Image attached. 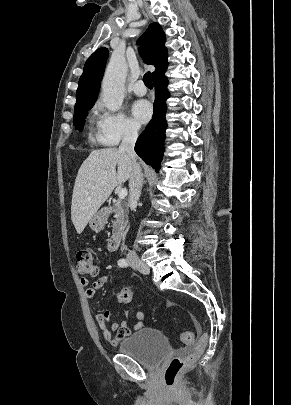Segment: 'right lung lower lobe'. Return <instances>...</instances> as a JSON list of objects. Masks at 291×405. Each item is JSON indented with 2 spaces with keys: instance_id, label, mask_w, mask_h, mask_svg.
<instances>
[{
  "instance_id": "right-lung-lower-lobe-1",
  "label": "right lung lower lobe",
  "mask_w": 291,
  "mask_h": 405,
  "mask_svg": "<svg viewBox=\"0 0 291 405\" xmlns=\"http://www.w3.org/2000/svg\"><path fill=\"white\" fill-rule=\"evenodd\" d=\"M155 84V101L153 116L143 133L138 137L135 145L136 153L153 168H160L164 152V139L167 123L165 100L169 96L166 89L168 79L163 75L153 79Z\"/></svg>"
}]
</instances>
